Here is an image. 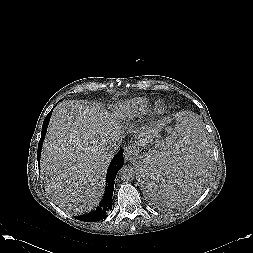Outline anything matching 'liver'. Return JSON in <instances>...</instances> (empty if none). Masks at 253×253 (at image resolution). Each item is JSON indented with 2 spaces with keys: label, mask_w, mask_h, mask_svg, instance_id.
Listing matches in <instances>:
<instances>
[{
  "label": "liver",
  "mask_w": 253,
  "mask_h": 253,
  "mask_svg": "<svg viewBox=\"0 0 253 253\" xmlns=\"http://www.w3.org/2000/svg\"><path fill=\"white\" fill-rule=\"evenodd\" d=\"M157 132L151 129L146 134ZM122 133L115 115L87 101L69 100L56 106L42 149L41 174L58 207L79 214L99 204L113 156L107 146L120 140ZM149 136L140 144L145 145Z\"/></svg>",
  "instance_id": "liver-1"
}]
</instances>
